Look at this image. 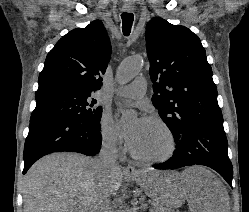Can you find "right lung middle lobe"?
<instances>
[{
  "instance_id": "1",
  "label": "right lung middle lobe",
  "mask_w": 249,
  "mask_h": 212,
  "mask_svg": "<svg viewBox=\"0 0 249 212\" xmlns=\"http://www.w3.org/2000/svg\"><path fill=\"white\" fill-rule=\"evenodd\" d=\"M36 107L30 122L38 119L60 117L81 123L99 124L102 108L90 93L56 91L36 95Z\"/></svg>"
}]
</instances>
